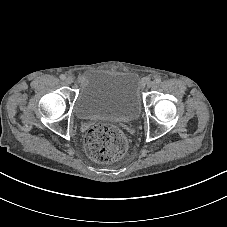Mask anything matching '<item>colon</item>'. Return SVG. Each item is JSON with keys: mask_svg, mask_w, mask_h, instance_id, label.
Returning <instances> with one entry per match:
<instances>
[{"mask_svg": "<svg viewBox=\"0 0 227 227\" xmlns=\"http://www.w3.org/2000/svg\"><path fill=\"white\" fill-rule=\"evenodd\" d=\"M128 140L116 126L94 125L86 134V150L89 156L101 163L119 160L125 154Z\"/></svg>", "mask_w": 227, "mask_h": 227, "instance_id": "1", "label": "colon"}]
</instances>
